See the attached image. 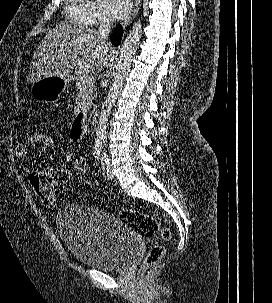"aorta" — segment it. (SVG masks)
Returning <instances> with one entry per match:
<instances>
[{"mask_svg":"<svg viewBox=\"0 0 272 303\" xmlns=\"http://www.w3.org/2000/svg\"><path fill=\"white\" fill-rule=\"evenodd\" d=\"M141 35L142 24L141 21L138 20L133 24L120 49L114 82L108 92L104 103L102 104L101 113L99 116L95 140L97 144H102L106 139L107 125L111 109L116 101V98L120 94L124 80L130 71L131 62L138 49Z\"/></svg>","mask_w":272,"mask_h":303,"instance_id":"762f6f07","label":"aorta"}]
</instances>
